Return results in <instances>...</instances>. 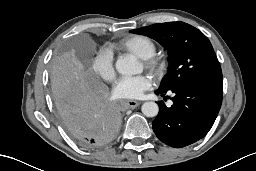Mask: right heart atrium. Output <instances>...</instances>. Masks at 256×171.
<instances>
[{
    "instance_id": "right-heart-atrium-1",
    "label": "right heart atrium",
    "mask_w": 256,
    "mask_h": 171,
    "mask_svg": "<svg viewBox=\"0 0 256 171\" xmlns=\"http://www.w3.org/2000/svg\"><path fill=\"white\" fill-rule=\"evenodd\" d=\"M92 69L102 79L113 80L115 78L113 55L107 50H100L93 59Z\"/></svg>"
}]
</instances>
